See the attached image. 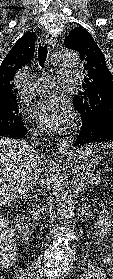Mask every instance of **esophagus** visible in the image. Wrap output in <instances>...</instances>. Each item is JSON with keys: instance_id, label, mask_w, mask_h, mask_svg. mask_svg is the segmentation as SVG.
I'll return each instance as SVG.
<instances>
[{"instance_id": "esophagus-1", "label": "esophagus", "mask_w": 113, "mask_h": 279, "mask_svg": "<svg viewBox=\"0 0 113 279\" xmlns=\"http://www.w3.org/2000/svg\"><path fill=\"white\" fill-rule=\"evenodd\" d=\"M45 43L49 44V49L50 51H52L54 49L55 46V37L53 34L48 33L46 34L45 38H44ZM71 142H72V138H67L65 140H62L59 144V152L62 154H66L70 151L71 149Z\"/></svg>"}]
</instances>
